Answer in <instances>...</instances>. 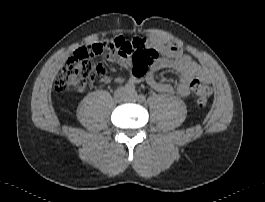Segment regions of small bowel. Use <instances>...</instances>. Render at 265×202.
Wrapping results in <instances>:
<instances>
[{
  "instance_id": "c3829d8e",
  "label": "small bowel",
  "mask_w": 265,
  "mask_h": 202,
  "mask_svg": "<svg viewBox=\"0 0 265 202\" xmlns=\"http://www.w3.org/2000/svg\"><path fill=\"white\" fill-rule=\"evenodd\" d=\"M146 47L156 49L159 54L149 64V72L146 76L147 84L159 92L172 93L176 90L179 95L188 97L191 93V83L197 80L200 75V68L197 63L188 55L184 54L179 47L167 44L154 37L148 38ZM82 50L84 49L77 50V54L81 53ZM106 59L110 62L120 64L125 68L130 66V57H124L119 53H108ZM165 69L175 71L179 74L180 80L176 87L169 83L161 82L156 78V73ZM118 81L121 82L122 79L118 78ZM129 81L134 84L138 83L139 79L131 77Z\"/></svg>"
}]
</instances>
